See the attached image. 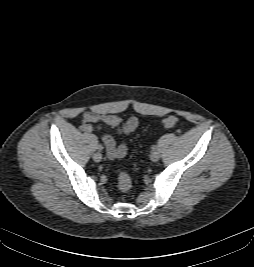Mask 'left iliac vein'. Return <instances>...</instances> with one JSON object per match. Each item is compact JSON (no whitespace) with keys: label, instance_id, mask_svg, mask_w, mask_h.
<instances>
[{"label":"left iliac vein","instance_id":"1","mask_svg":"<svg viewBox=\"0 0 254 267\" xmlns=\"http://www.w3.org/2000/svg\"><path fill=\"white\" fill-rule=\"evenodd\" d=\"M159 158H160V153H159L158 151H154V152H152V154H151V160H152L153 162L158 161Z\"/></svg>","mask_w":254,"mask_h":267}]
</instances>
